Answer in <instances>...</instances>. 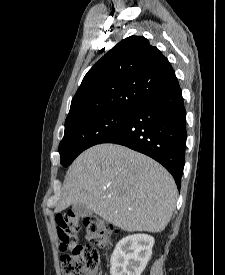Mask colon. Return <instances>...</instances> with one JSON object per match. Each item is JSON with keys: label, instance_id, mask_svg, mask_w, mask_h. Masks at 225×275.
<instances>
[{"label": "colon", "instance_id": "colon-1", "mask_svg": "<svg viewBox=\"0 0 225 275\" xmlns=\"http://www.w3.org/2000/svg\"><path fill=\"white\" fill-rule=\"evenodd\" d=\"M57 237L62 250H71L61 258L62 275H93L98 262L97 248H103L115 234L114 227L96 216L83 219L65 213L56 219ZM83 225L90 246H77V233Z\"/></svg>", "mask_w": 225, "mask_h": 275}]
</instances>
